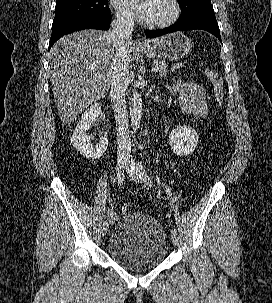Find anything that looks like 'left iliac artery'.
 I'll list each match as a JSON object with an SVG mask.
<instances>
[{
    "instance_id": "obj_1",
    "label": "left iliac artery",
    "mask_w": 272,
    "mask_h": 303,
    "mask_svg": "<svg viewBox=\"0 0 272 303\" xmlns=\"http://www.w3.org/2000/svg\"><path fill=\"white\" fill-rule=\"evenodd\" d=\"M137 165L139 166V169L141 171L142 177L144 179V181L146 182L147 185H149L150 187H152L153 182L150 178V176L148 175L147 171L145 170V168L143 167L142 163L138 160ZM171 232H174L175 234H177V230L175 227H173L171 229Z\"/></svg>"
}]
</instances>
